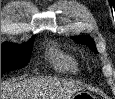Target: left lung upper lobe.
<instances>
[{"label":"left lung upper lobe","mask_w":115,"mask_h":99,"mask_svg":"<svg viewBox=\"0 0 115 99\" xmlns=\"http://www.w3.org/2000/svg\"><path fill=\"white\" fill-rule=\"evenodd\" d=\"M76 42L87 45L92 51L97 53L95 43L89 36L72 37Z\"/></svg>","instance_id":"1"}]
</instances>
